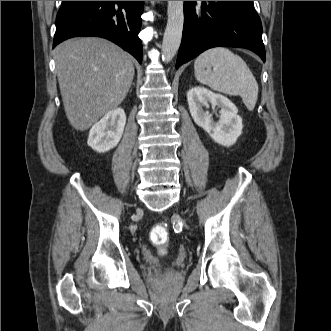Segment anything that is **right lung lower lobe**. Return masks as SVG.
I'll return each mask as SVG.
<instances>
[{
    "label": "right lung lower lobe",
    "mask_w": 331,
    "mask_h": 331,
    "mask_svg": "<svg viewBox=\"0 0 331 331\" xmlns=\"http://www.w3.org/2000/svg\"><path fill=\"white\" fill-rule=\"evenodd\" d=\"M143 1H62L57 14L55 47L76 36L106 38L142 62Z\"/></svg>",
    "instance_id": "obj_1"
}]
</instances>
